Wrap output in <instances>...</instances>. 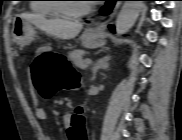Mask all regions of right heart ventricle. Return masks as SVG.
Returning <instances> with one entry per match:
<instances>
[{
	"label": "right heart ventricle",
	"instance_id": "1",
	"mask_svg": "<svg viewBox=\"0 0 182 140\" xmlns=\"http://www.w3.org/2000/svg\"><path fill=\"white\" fill-rule=\"evenodd\" d=\"M54 0H33L30 4V9L32 12L45 15V16H59L56 4L51 3Z\"/></svg>",
	"mask_w": 182,
	"mask_h": 140
}]
</instances>
